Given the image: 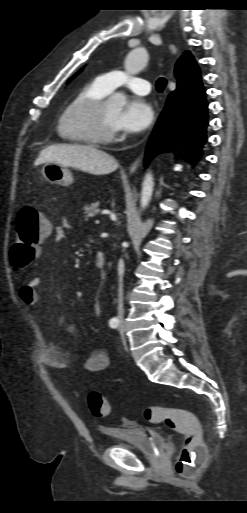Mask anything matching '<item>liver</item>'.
<instances>
[{"label":"liver","mask_w":247,"mask_h":513,"mask_svg":"<svg viewBox=\"0 0 247 513\" xmlns=\"http://www.w3.org/2000/svg\"><path fill=\"white\" fill-rule=\"evenodd\" d=\"M71 166L93 175L110 174L117 169L116 160L93 146L79 144L51 145L41 151L35 166L43 163Z\"/></svg>","instance_id":"obj_1"}]
</instances>
